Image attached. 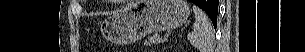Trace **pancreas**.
Returning a JSON list of instances; mask_svg holds the SVG:
<instances>
[{
	"label": "pancreas",
	"instance_id": "cf45deb5",
	"mask_svg": "<svg viewBox=\"0 0 305 52\" xmlns=\"http://www.w3.org/2000/svg\"><path fill=\"white\" fill-rule=\"evenodd\" d=\"M162 42H163L162 37L155 34L153 36L148 37L147 41H145V44L146 45H155V44H160Z\"/></svg>",
	"mask_w": 305,
	"mask_h": 52
}]
</instances>
